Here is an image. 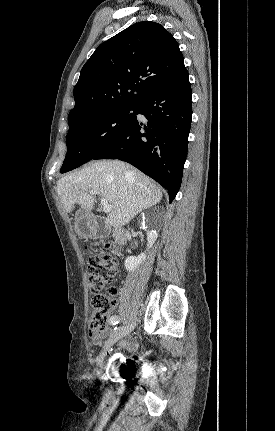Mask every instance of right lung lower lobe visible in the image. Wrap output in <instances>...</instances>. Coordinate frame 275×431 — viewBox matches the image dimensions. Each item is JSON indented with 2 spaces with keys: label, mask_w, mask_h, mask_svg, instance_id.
Instances as JSON below:
<instances>
[{
  "label": "right lung lower lobe",
  "mask_w": 275,
  "mask_h": 431,
  "mask_svg": "<svg viewBox=\"0 0 275 431\" xmlns=\"http://www.w3.org/2000/svg\"><path fill=\"white\" fill-rule=\"evenodd\" d=\"M135 121L94 159L126 161L160 183L172 201L181 185L192 119V90L184 70L136 105Z\"/></svg>",
  "instance_id": "98d812e1"
}]
</instances>
